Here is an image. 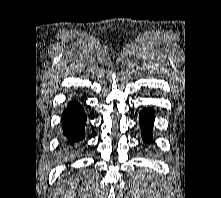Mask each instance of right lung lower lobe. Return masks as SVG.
<instances>
[{"label": "right lung lower lobe", "mask_w": 221, "mask_h": 198, "mask_svg": "<svg viewBox=\"0 0 221 198\" xmlns=\"http://www.w3.org/2000/svg\"><path fill=\"white\" fill-rule=\"evenodd\" d=\"M85 122L86 115L83 107L76 102H70L62 115V129L68 140L67 144L73 145L84 138Z\"/></svg>", "instance_id": "right-lung-lower-lobe-1"}]
</instances>
